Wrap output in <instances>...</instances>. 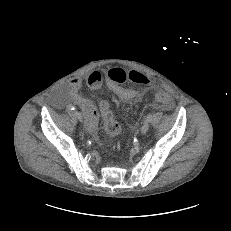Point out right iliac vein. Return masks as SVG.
Listing matches in <instances>:
<instances>
[{"label":"right iliac vein","instance_id":"1","mask_svg":"<svg viewBox=\"0 0 231 231\" xmlns=\"http://www.w3.org/2000/svg\"><path fill=\"white\" fill-rule=\"evenodd\" d=\"M74 114H75V116L77 117V119L80 122H83V115H82V113H80L79 111H75Z\"/></svg>","mask_w":231,"mask_h":231}]
</instances>
